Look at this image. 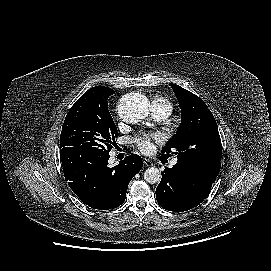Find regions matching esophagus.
<instances>
[{"label":"esophagus","instance_id":"34e87169","mask_svg":"<svg viewBox=\"0 0 271 271\" xmlns=\"http://www.w3.org/2000/svg\"><path fill=\"white\" fill-rule=\"evenodd\" d=\"M143 163H144V165H146V166H153L154 164H153V162L151 161V160H149V159H143Z\"/></svg>","mask_w":271,"mask_h":271}]
</instances>
